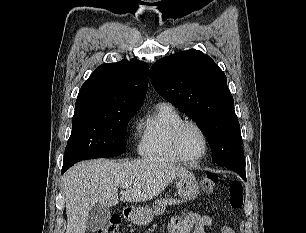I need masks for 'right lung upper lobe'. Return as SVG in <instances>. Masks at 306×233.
Returning <instances> with one entry per match:
<instances>
[{
  "instance_id": "obj_1",
  "label": "right lung upper lobe",
  "mask_w": 306,
  "mask_h": 233,
  "mask_svg": "<svg viewBox=\"0 0 306 233\" xmlns=\"http://www.w3.org/2000/svg\"><path fill=\"white\" fill-rule=\"evenodd\" d=\"M148 65L137 59L102 64L82 85L75 107L138 110L148 86Z\"/></svg>"
}]
</instances>
